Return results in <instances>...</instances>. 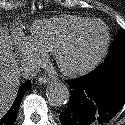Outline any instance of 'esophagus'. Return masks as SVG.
<instances>
[{
	"label": "esophagus",
	"instance_id": "obj_1",
	"mask_svg": "<svg viewBox=\"0 0 125 125\" xmlns=\"http://www.w3.org/2000/svg\"><path fill=\"white\" fill-rule=\"evenodd\" d=\"M49 82V79L46 77H39L38 78V83L40 84H47Z\"/></svg>",
	"mask_w": 125,
	"mask_h": 125
}]
</instances>
